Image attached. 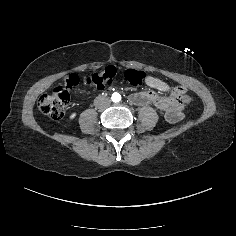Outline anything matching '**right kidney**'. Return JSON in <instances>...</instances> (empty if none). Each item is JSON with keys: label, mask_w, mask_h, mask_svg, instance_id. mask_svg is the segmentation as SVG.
Listing matches in <instances>:
<instances>
[{"label": "right kidney", "mask_w": 236, "mask_h": 236, "mask_svg": "<svg viewBox=\"0 0 236 236\" xmlns=\"http://www.w3.org/2000/svg\"><path fill=\"white\" fill-rule=\"evenodd\" d=\"M78 116V112L77 111H73L70 113V115L68 116V120L69 121H73L76 119V117Z\"/></svg>", "instance_id": "obj_1"}]
</instances>
